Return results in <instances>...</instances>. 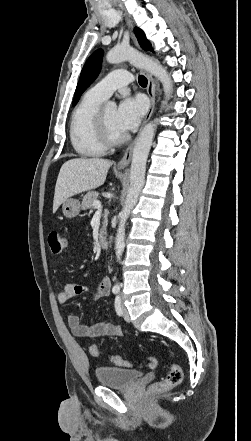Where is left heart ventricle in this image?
Masks as SVG:
<instances>
[{
  "instance_id": "1",
  "label": "left heart ventricle",
  "mask_w": 251,
  "mask_h": 441,
  "mask_svg": "<svg viewBox=\"0 0 251 441\" xmlns=\"http://www.w3.org/2000/svg\"><path fill=\"white\" fill-rule=\"evenodd\" d=\"M103 116L110 134L114 137L122 136L124 133L116 125V109L108 108L103 110Z\"/></svg>"
}]
</instances>
